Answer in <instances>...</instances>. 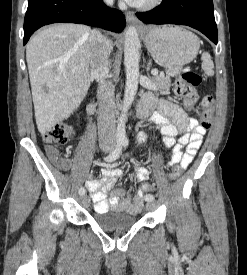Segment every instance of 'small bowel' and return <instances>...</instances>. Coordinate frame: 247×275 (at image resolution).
<instances>
[{
	"instance_id": "c3829d8e",
	"label": "small bowel",
	"mask_w": 247,
	"mask_h": 275,
	"mask_svg": "<svg viewBox=\"0 0 247 275\" xmlns=\"http://www.w3.org/2000/svg\"><path fill=\"white\" fill-rule=\"evenodd\" d=\"M142 104L147 108V114L154 107L157 110L150 120L160 129L162 140L166 147L172 149L170 161L167 167L180 164L183 169L193 161L201 147L206 129L197 119L188 117L176 104L167 100H156L152 96H146ZM179 136L178 140H176ZM45 153L51 163L61 171H70L75 168L72 160L59 155L58 150L52 145L45 146ZM122 176V171L113 165L106 164L101 170V177L95 178L92 173L87 174L86 188L91 194L96 212H125L137 214L140 212L144 193L138 190L131 194L124 189L115 188V184ZM136 180L144 182L148 179V171L145 167H137Z\"/></svg>"
}]
</instances>
